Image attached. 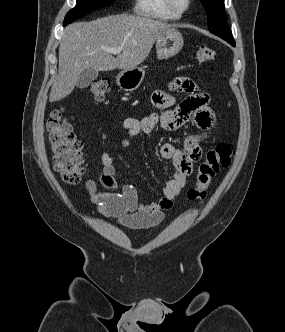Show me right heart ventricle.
Returning <instances> with one entry per match:
<instances>
[{
	"label": "right heart ventricle",
	"mask_w": 285,
	"mask_h": 332,
	"mask_svg": "<svg viewBox=\"0 0 285 332\" xmlns=\"http://www.w3.org/2000/svg\"><path fill=\"white\" fill-rule=\"evenodd\" d=\"M134 12L159 21H175L181 17L169 8L167 0H135Z\"/></svg>",
	"instance_id": "e07e8e85"
}]
</instances>
